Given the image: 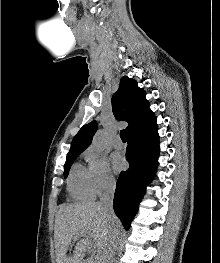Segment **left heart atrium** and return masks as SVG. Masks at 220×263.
<instances>
[{
    "mask_svg": "<svg viewBox=\"0 0 220 263\" xmlns=\"http://www.w3.org/2000/svg\"><path fill=\"white\" fill-rule=\"evenodd\" d=\"M113 166L116 172L123 170L126 167V161L122 155L115 153L112 156Z\"/></svg>",
    "mask_w": 220,
    "mask_h": 263,
    "instance_id": "1",
    "label": "left heart atrium"
}]
</instances>
